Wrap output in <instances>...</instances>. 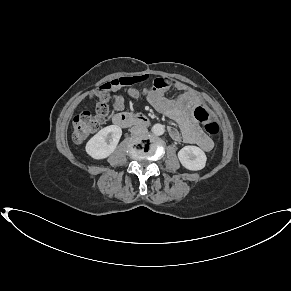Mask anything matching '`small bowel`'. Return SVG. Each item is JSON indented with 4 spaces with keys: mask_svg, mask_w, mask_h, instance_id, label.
I'll use <instances>...</instances> for the list:
<instances>
[{
    "mask_svg": "<svg viewBox=\"0 0 291 291\" xmlns=\"http://www.w3.org/2000/svg\"><path fill=\"white\" fill-rule=\"evenodd\" d=\"M173 87L182 91V94L176 99L166 98V91ZM94 96L98 97L97 92ZM147 100L157 111L178 123L180 130L174 127L169 128V134L173 140L197 145L204 151L212 149V140L204 134L189 112L192 107L199 104L200 100L188 89L187 85L166 77L157 78L154 80L152 90L147 95ZM112 104L116 111H121L125 102L123 97L115 95Z\"/></svg>",
    "mask_w": 291,
    "mask_h": 291,
    "instance_id": "1",
    "label": "small bowel"
}]
</instances>
